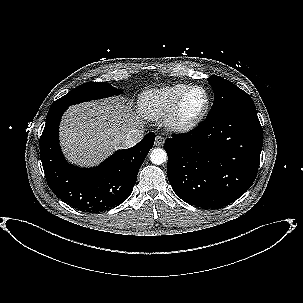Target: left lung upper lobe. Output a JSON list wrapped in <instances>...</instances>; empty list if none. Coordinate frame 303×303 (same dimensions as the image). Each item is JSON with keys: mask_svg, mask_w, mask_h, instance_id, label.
Instances as JSON below:
<instances>
[{"mask_svg": "<svg viewBox=\"0 0 303 303\" xmlns=\"http://www.w3.org/2000/svg\"><path fill=\"white\" fill-rule=\"evenodd\" d=\"M208 82L214 91V102L206 118L237 112L241 110L256 109L252 98L230 81L211 76Z\"/></svg>", "mask_w": 303, "mask_h": 303, "instance_id": "1", "label": "left lung upper lobe"}]
</instances>
